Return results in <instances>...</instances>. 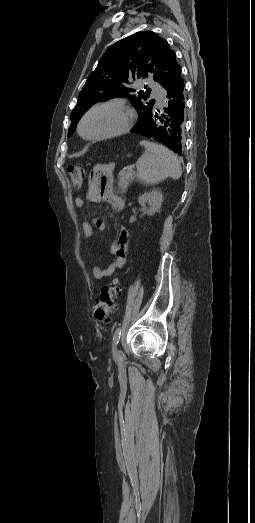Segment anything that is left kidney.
Instances as JSON below:
<instances>
[{
	"label": "left kidney",
	"mask_w": 255,
	"mask_h": 523,
	"mask_svg": "<svg viewBox=\"0 0 255 523\" xmlns=\"http://www.w3.org/2000/svg\"><path fill=\"white\" fill-rule=\"evenodd\" d=\"M162 198L163 196L160 190H151V192H147V194H142V196H139V204L143 206V210H145V204H149V208L146 214L153 216V214L159 212L163 202ZM130 222H136L135 216H131Z\"/></svg>",
	"instance_id": "left-kidney-1"
}]
</instances>
